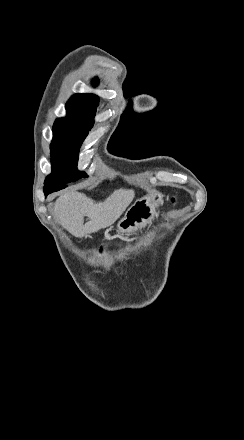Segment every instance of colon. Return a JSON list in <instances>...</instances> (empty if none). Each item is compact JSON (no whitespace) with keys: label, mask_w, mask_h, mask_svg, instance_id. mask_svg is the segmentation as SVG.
I'll use <instances>...</instances> for the list:
<instances>
[{"label":"colon","mask_w":244,"mask_h":440,"mask_svg":"<svg viewBox=\"0 0 244 440\" xmlns=\"http://www.w3.org/2000/svg\"><path fill=\"white\" fill-rule=\"evenodd\" d=\"M101 250L106 251L104 247ZM87 258L90 260L92 257L89 255Z\"/></svg>","instance_id":"1"}]
</instances>
